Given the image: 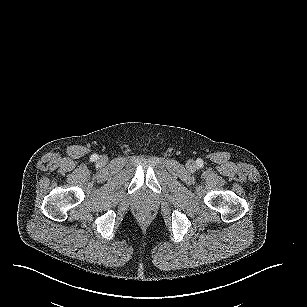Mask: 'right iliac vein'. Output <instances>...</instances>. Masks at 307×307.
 <instances>
[{"label":"right iliac vein","mask_w":307,"mask_h":307,"mask_svg":"<svg viewBox=\"0 0 307 307\" xmlns=\"http://www.w3.org/2000/svg\"><path fill=\"white\" fill-rule=\"evenodd\" d=\"M97 162L99 165L104 166L107 162L106 156H100Z\"/></svg>","instance_id":"1"}]
</instances>
